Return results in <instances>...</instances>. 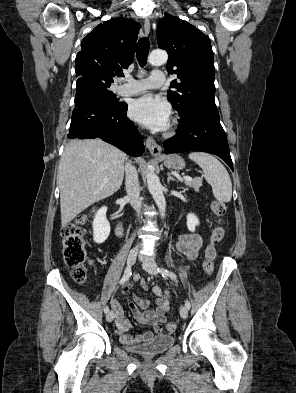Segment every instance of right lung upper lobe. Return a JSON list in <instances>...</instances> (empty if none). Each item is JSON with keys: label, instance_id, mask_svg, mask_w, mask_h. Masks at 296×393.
<instances>
[{"label": "right lung upper lobe", "instance_id": "1", "mask_svg": "<svg viewBox=\"0 0 296 393\" xmlns=\"http://www.w3.org/2000/svg\"><path fill=\"white\" fill-rule=\"evenodd\" d=\"M140 24L126 18H112L99 24L81 42L75 59L78 78L95 77L113 82L123 76L122 68L132 63Z\"/></svg>", "mask_w": 296, "mask_h": 393}]
</instances>
